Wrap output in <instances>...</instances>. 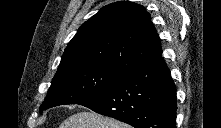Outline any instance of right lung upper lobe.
Masks as SVG:
<instances>
[{
  "label": "right lung upper lobe",
  "mask_w": 221,
  "mask_h": 128,
  "mask_svg": "<svg viewBox=\"0 0 221 128\" xmlns=\"http://www.w3.org/2000/svg\"><path fill=\"white\" fill-rule=\"evenodd\" d=\"M161 54L149 13L139 4L119 1L103 7L78 29L58 71L94 66L127 74Z\"/></svg>",
  "instance_id": "right-lung-upper-lobe-1"
}]
</instances>
